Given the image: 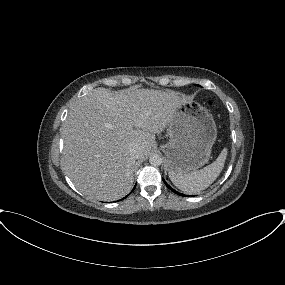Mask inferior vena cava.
Masks as SVG:
<instances>
[{
    "label": "inferior vena cava",
    "instance_id": "1",
    "mask_svg": "<svg viewBox=\"0 0 285 285\" xmlns=\"http://www.w3.org/2000/svg\"><path fill=\"white\" fill-rule=\"evenodd\" d=\"M130 156L134 159H140L142 156V152L139 146L132 145L129 149Z\"/></svg>",
    "mask_w": 285,
    "mask_h": 285
}]
</instances>
